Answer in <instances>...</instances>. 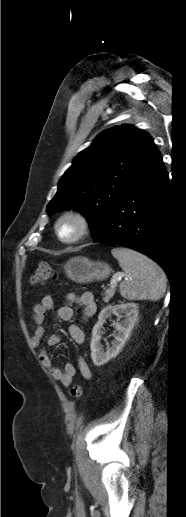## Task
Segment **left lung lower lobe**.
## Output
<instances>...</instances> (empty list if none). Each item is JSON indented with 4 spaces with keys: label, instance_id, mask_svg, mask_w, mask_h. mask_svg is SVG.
Masks as SVG:
<instances>
[{
    "label": "left lung lower lobe",
    "instance_id": "obj_1",
    "mask_svg": "<svg viewBox=\"0 0 186 517\" xmlns=\"http://www.w3.org/2000/svg\"><path fill=\"white\" fill-rule=\"evenodd\" d=\"M168 192V174L159 153L112 208L94 242L120 245L145 254L170 278Z\"/></svg>",
    "mask_w": 186,
    "mask_h": 517
}]
</instances>
